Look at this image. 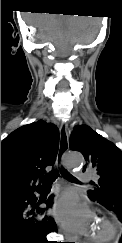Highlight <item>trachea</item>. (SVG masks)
Listing matches in <instances>:
<instances>
[{
  "label": "trachea",
  "mask_w": 122,
  "mask_h": 243,
  "mask_svg": "<svg viewBox=\"0 0 122 243\" xmlns=\"http://www.w3.org/2000/svg\"><path fill=\"white\" fill-rule=\"evenodd\" d=\"M62 173H63L64 178H66L68 181H70V182H77L78 181L67 170L63 169ZM56 178H57V172H51L50 174L43 177L42 178L43 187L44 188L50 187L51 184L56 180Z\"/></svg>",
  "instance_id": "3493384b"
}]
</instances>
